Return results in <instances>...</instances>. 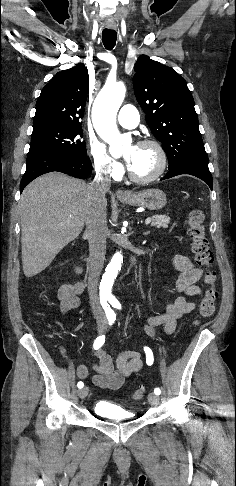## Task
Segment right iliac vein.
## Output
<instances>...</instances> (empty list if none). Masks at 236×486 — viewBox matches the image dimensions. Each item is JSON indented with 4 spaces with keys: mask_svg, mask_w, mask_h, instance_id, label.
<instances>
[{
    "mask_svg": "<svg viewBox=\"0 0 236 486\" xmlns=\"http://www.w3.org/2000/svg\"><path fill=\"white\" fill-rule=\"evenodd\" d=\"M105 326H106V320L105 319H99L97 321V327H98L99 332H102L104 330ZM88 392H89L88 387H84V388L78 390V396L81 399H84L87 396Z\"/></svg>",
    "mask_w": 236,
    "mask_h": 486,
    "instance_id": "right-iliac-vein-1",
    "label": "right iliac vein"
}]
</instances>
